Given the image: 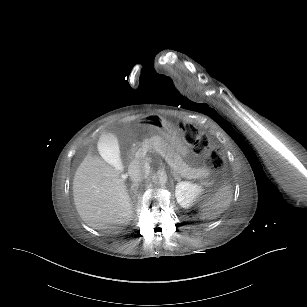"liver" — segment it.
Returning a JSON list of instances; mask_svg holds the SVG:
<instances>
[{"label":"liver","mask_w":307,"mask_h":307,"mask_svg":"<svg viewBox=\"0 0 307 307\" xmlns=\"http://www.w3.org/2000/svg\"><path fill=\"white\" fill-rule=\"evenodd\" d=\"M139 116H127L130 123ZM74 204L80 218L96 230L113 229L125 224L133 213L129 190L120 173L99 156L87 155L73 179Z\"/></svg>","instance_id":"6515ba94"}]
</instances>
